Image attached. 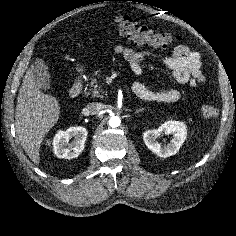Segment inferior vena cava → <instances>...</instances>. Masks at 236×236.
I'll return each instance as SVG.
<instances>
[{
    "label": "inferior vena cava",
    "mask_w": 236,
    "mask_h": 236,
    "mask_svg": "<svg viewBox=\"0 0 236 236\" xmlns=\"http://www.w3.org/2000/svg\"><path fill=\"white\" fill-rule=\"evenodd\" d=\"M103 109V105L98 102L89 103L84 109L83 113L85 115H94L99 113Z\"/></svg>",
    "instance_id": "obj_1"
}]
</instances>
